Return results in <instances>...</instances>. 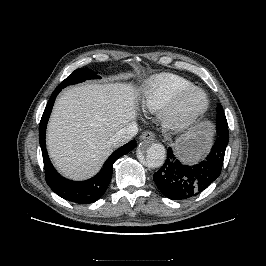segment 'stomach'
I'll list each match as a JSON object with an SVG mask.
<instances>
[{
	"mask_svg": "<svg viewBox=\"0 0 266 266\" xmlns=\"http://www.w3.org/2000/svg\"><path fill=\"white\" fill-rule=\"evenodd\" d=\"M212 130L207 123L179 137L174 143L180 158L188 163H195L204 158L211 143Z\"/></svg>",
	"mask_w": 266,
	"mask_h": 266,
	"instance_id": "stomach-1",
	"label": "stomach"
}]
</instances>
